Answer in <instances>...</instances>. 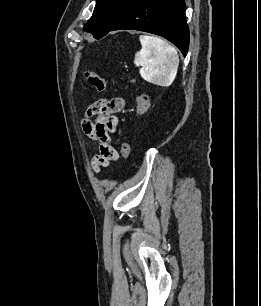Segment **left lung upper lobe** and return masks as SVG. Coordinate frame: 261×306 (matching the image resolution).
<instances>
[{
    "mask_svg": "<svg viewBox=\"0 0 261 306\" xmlns=\"http://www.w3.org/2000/svg\"><path fill=\"white\" fill-rule=\"evenodd\" d=\"M133 0H96L93 15L85 24V31L101 37L118 22Z\"/></svg>",
    "mask_w": 261,
    "mask_h": 306,
    "instance_id": "5c2ea615",
    "label": "left lung upper lobe"
}]
</instances>
